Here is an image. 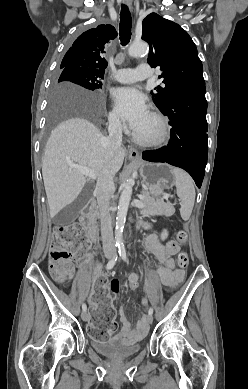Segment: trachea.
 Instances as JSON below:
<instances>
[{
    "label": "trachea",
    "instance_id": "3493384b",
    "mask_svg": "<svg viewBox=\"0 0 248 389\" xmlns=\"http://www.w3.org/2000/svg\"><path fill=\"white\" fill-rule=\"evenodd\" d=\"M131 24H132V18L131 13L128 9V7L124 4L121 6V13H120V41L123 46L127 45L131 39Z\"/></svg>",
    "mask_w": 248,
    "mask_h": 389
}]
</instances>
